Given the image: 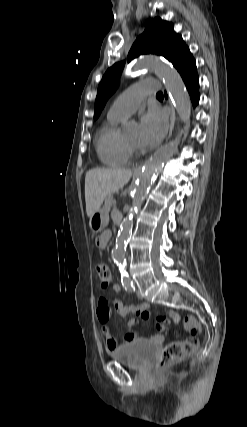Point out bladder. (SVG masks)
I'll return each mask as SVG.
<instances>
[{
    "mask_svg": "<svg viewBox=\"0 0 247 427\" xmlns=\"http://www.w3.org/2000/svg\"><path fill=\"white\" fill-rule=\"evenodd\" d=\"M156 352V345L146 340H135L113 351V360L124 363L134 369L145 368Z\"/></svg>",
    "mask_w": 247,
    "mask_h": 427,
    "instance_id": "obj_1",
    "label": "bladder"
}]
</instances>
